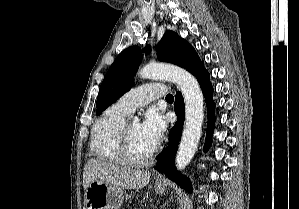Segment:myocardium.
<instances>
[{"instance_id":"myocardium-1","label":"myocardium","mask_w":299,"mask_h":209,"mask_svg":"<svg viewBox=\"0 0 299 209\" xmlns=\"http://www.w3.org/2000/svg\"><path fill=\"white\" fill-rule=\"evenodd\" d=\"M128 127L129 124H124L120 131V156L122 162L129 166L138 168L149 165L157 153V148L155 147L152 152L144 159H134L130 153Z\"/></svg>"}]
</instances>
